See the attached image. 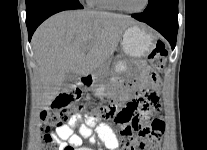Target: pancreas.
<instances>
[{"label": "pancreas", "instance_id": "1", "mask_svg": "<svg viewBox=\"0 0 207 150\" xmlns=\"http://www.w3.org/2000/svg\"><path fill=\"white\" fill-rule=\"evenodd\" d=\"M108 74V72L106 71V70H100L99 71V75H107Z\"/></svg>", "mask_w": 207, "mask_h": 150}]
</instances>
